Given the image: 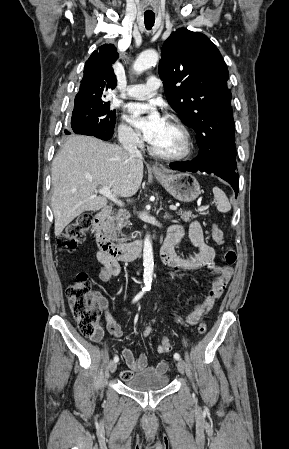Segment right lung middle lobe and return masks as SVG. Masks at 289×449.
<instances>
[{
  "label": "right lung middle lobe",
  "instance_id": "dd1d6c3e",
  "mask_svg": "<svg viewBox=\"0 0 289 449\" xmlns=\"http://www.w3.org/2000/svg\"><path fill=\"white\" fill-rule=\"evenodd\" d=\"M104 90L92 93H78L72 113L71 127L73 131L79 124L89 123L94 127L114 130L116 111L110 109V102L106 100ZM66 134H70L65 131Z\"/></svg>",
  "mask_w": 289,
  "mask_h": 449
}]
</instances>
